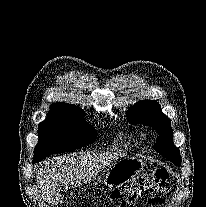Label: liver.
<instances>
[{
	"instance_id": "obj_1",
	"label": "liver",
	"mask_w": 206,
	"mask_h": 207,
	"mask_svg": "<svg viewBox=\"0 0 206 207\" xmlns=\"http://www.w3.org/2000/svg\"><path fill=\"white\" fill-rule=\"evenodd\" d=\"M118 156L72 154L44 161L36 178L43 200L49 205H57L63 199L62 187L67 190L86 184Z\"/></svg>"
}]
</instances>
